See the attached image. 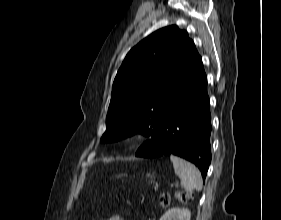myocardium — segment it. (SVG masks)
<instances>
[{"mask_svg":"<svg viewBox=\"0 0 281 220\" xmlns=\"http://www.w3.org/2000/svg\"><path fill=\"white\" fill-rule=\"evenodd\" d=\"M129 139H130L131 141L135 140V139H136V135H131Z\"/></svg>","mask_w":281,"mask_h":220,"instance_id":"obj_1","label":"myocardium"}]
</instances>
